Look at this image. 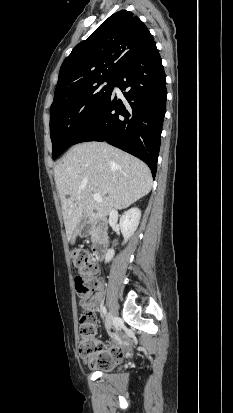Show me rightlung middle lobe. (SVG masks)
I'll return each mask as SVG.
<instances>
[{"mask_svg":"<svg viewBox=\"0 0 233 413\" xmlns=\"http://www.w3.org/2000/svg\"><path fill=\"white\" fill-rule=\"evenodd\" d=\"M106 82V85H102ZM114 78L100 80L54 101L50 109L52 157L62 154L99 114L113 92Z\"/></svg>","mask_w":233,"mask_h":413,"instance_id":"dd1d6c3e","label":"right lung middle lobe"}]
</instances>
